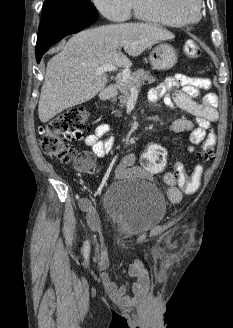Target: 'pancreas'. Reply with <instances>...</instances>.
I'll return each instance as SVG.
<instances>
[{
    "label": "pancreas",
    "instance_id": "1",
    "mask_svg": "<svg viewBox=\"0 0 233 328\" xmlns=\"http://www.w3.org/2000/svg\"><path fill=\"white\" fill-rule=\"evenodd\" d=\"M155 81V78L150 75L149 71H145L144 69H138L134 73L130 75L129 80H120L118 83V89L120 92V95L113 96L112 102L115 103L117 99H119L120 106L127 103L128 99L130 98V91L131 88L134 87L137 91H139L142 87V85L145 84V82H148L149 84L153 83Z\"/></svg>",
    "mask_w": 233,
    "mask_h": 328
}]
</instances>
